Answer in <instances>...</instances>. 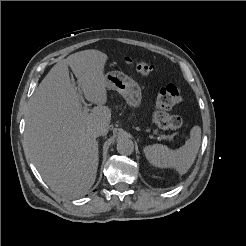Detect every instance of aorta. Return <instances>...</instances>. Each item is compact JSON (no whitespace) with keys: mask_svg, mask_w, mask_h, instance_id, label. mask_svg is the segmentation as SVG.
<instances>
[{"mask_svg":"<svg viewBox=\"0 0 246 246\" xmlns=\"http://www.w3.org/2000/svg\"><path fill=\"white\" fill-rule=\"evenodd\" d=\"M117 151L121 155H131L134 151L133 141L126 135L117 138Z\"/></svg>","mask_w":246,"mask_h":246,"instance_id":"obj_1","label":"aorta"}]
</instances>
